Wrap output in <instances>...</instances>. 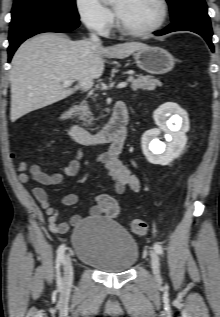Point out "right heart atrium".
<instances>
[{
  "instance_id": "1",
  "label": "right heart atrium",
  "mask_w": 220,
  "mask_h": 317,
  "mask_svg": "<svg viewBox=\"0 0 220 317\" xmlns=\"http://www.w3.org/2000/svg\"><path fill=\"white\" fill-rule=\"evenodd\" d=\"M76 11L81 22L90 30L106 34L113 25V16L99 0H76Z\"/></svg>"
}]
</instances>
